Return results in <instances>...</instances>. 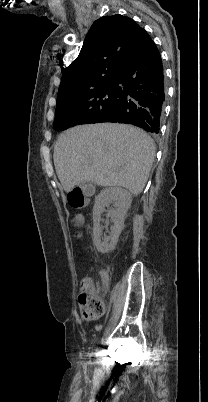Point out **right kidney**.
<instances>
[{"instance_id":"obj_1","label":"right kidney","mask_w":208,"mask_h":402,"mask_svg":"<svg viewBox=\"0 0 208 402\" xmlns=\"http://www.w3.org/2000/svg\"><path fill=\"white\" fill-rule=\"evenodd\" d=\"M131 202L132 196L130 192L122 190L119 186L104 188V190H101L99 196H96L93 206V242L98 252L106 254L118 242V238L123 230L125 214H127ZM110 204H114V208L107 210V218H111L114 226L111 228L110 236L106 238V242H101V214L105 212V208H109Z\"/></svg>"}]
</instances>
